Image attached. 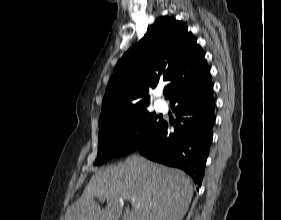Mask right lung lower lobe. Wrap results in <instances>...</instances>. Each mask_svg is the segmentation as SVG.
Segmentation results:
<instances>
[{
	"instance_id": "obj_1",
	"label": "right lung lower lobe",
	"mask_w": 281,
	"mask_h": 220,
	"mask_svg": "<svg viewBox=\"0 0 281 220\" xmlns=\"http://www.w3.org/2000/svg\"><path fill=\"white\" fill-rule=\"evenodd\" d=\"M170 103L177 104L175 131L171 132L163 121L136 151L153 161L184 170L201 186L215 122L213 84L210 80L182 91Z\"/></svg>"
}]
</instances>
